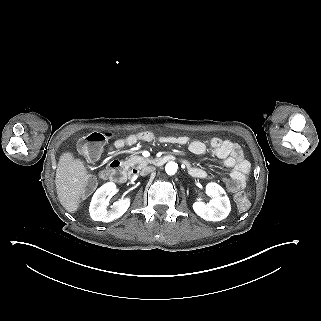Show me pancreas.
<instances>
[{
  "label": "pancreas",
  "mask_w": 321,
  "mask_h": 321,
  "mask_svg": "<svg viewBox=\"0 0 321 321\" xmlns=\"http://www.w3.org/2000/svg\"><path fill=\"white\" fill-rule=\"evenodd\" d=\"M149 163H152V160L138 155H131L130 158L125 161V168L128 169L131 167L141 169L146 167Z\"/></svg>",
  "instance_id": "1"
}]
</instances>
